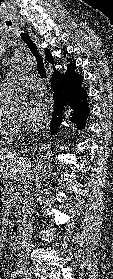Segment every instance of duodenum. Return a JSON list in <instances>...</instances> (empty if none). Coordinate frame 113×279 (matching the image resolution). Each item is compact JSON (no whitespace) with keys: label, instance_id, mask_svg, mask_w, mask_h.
Masks as SVG:
<instances>
[{"label":"duodenum","instance_id":"410a0bca","mask_svg":"<svg viewBox=\"0 0 113 279\" xmlns=\"http://www.w3.org/2000/svg\"><path fill=\"white\" fill-rule=\"evenodd\" d=\"M21 236V226L15 225L10 233V243L12 246L17 247Z\"/></svg>","mask_w":113,"mask_h":279}]
</instances>
